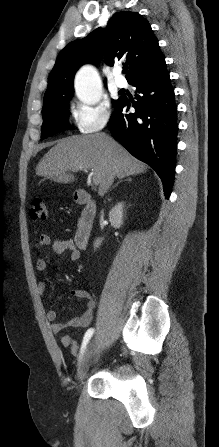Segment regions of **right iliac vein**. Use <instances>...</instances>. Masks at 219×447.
I'll return each mask as SVG.
<instances>
[{"instance_id":"63e3f726","label":"right iliac vein","mask_w":219,"mask_h":447,"mask_svg":"<svg viewBox=\"0 0 219 447\" xmlns=\"http://www.w3.org/2000/svg\"><path fill=\"white\" fill-rule=\"evenodd\" d=\"M94 347H95V340L93 339L92 341H90V343L84 353V356L82 357V360L79 364V367H78L77 379L79 382H82L87 374V371L90 366L91 358L93 355Z\"/></svg>"}]
</instances>
